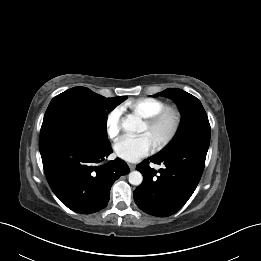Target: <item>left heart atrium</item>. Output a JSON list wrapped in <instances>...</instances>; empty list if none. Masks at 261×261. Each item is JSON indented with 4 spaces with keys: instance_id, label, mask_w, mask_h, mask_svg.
Wrapping results in <instances>:
<instances>
[{
    "instance_id": "obj_1",
    "label": "left heart atrium",
    "mask_w": 261,
    "mask_h": 261,
    "mask_svg": "<svg viewBox=\"0 0 261 261\" xmlns=\"http://www.w3.org/2000/svg\"><path fill=\"white\" fill-rule=\"evenodd\" d=\"M154 148L147 134H125L118 138L114 144V150L118 157L135 162L148 155Z\"/></svg>"
}]
</instances>
